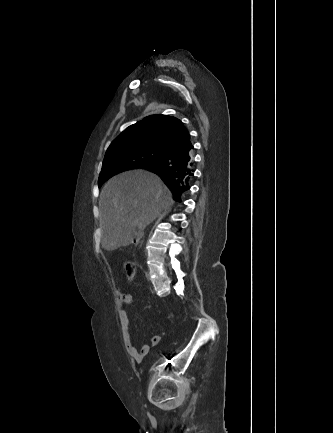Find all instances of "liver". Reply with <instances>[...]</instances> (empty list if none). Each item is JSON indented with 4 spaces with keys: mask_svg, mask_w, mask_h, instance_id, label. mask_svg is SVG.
Returning a JSON list of instances; mask_svg holds the SVG:
<instances>
[{
    "mask_svg": "<svg viewBox=\"0 0 333 433\" xmlns=\"http://www.w3.org/2000/svg\"><path fill=\"white\" fill-rule=\"evenodd\" d=\"M173 204L170 190L153 173L137 169L114 176L104 185L99 200L102 248L113 251L129 246L137 227L143 231Z\"/></svg>",
    "mask_w": 333,
    "mask_h": 433,
    "instance_id": "obj_1",
    "label": "liver"
}]
</instances>
